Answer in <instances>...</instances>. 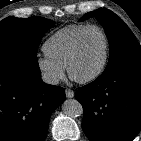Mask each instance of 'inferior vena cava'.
<instances>
[{
	"label": "inferior vena cava",
	"mask_w": 141,
	"mask_h": 141,
	"mask_svg": "<svg viewBox=\"0 0 141 141\" xmlns=\"http://www.w3.org/2000/svg\"><path fill=\"white\" fill-rule=\"evenodd\" d=\"M41 78L46 84L56 85L59 83V78L52 73H43Z\"/></svg>",
	"instance_id": "1"
}]
</instances>
